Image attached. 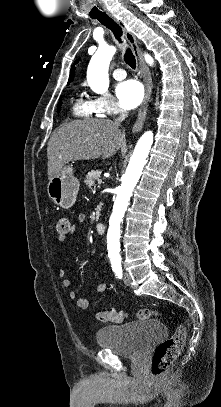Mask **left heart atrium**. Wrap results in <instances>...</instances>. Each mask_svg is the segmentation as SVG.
<instances>
[{
	"instance_id": "1",
	"label": "left heart atrium",
	"mask_w": 221,
	"mask_h": 407,
	"mask_svg": "<svg viewBox=\"0 0 221 407\" xmlns=\"http://www.w3.org/2000/svg\"><path fill=\"white\" fill-rule=\"evenodd\" d=\"M116 95L125 108L133 109L143 100L144 88L139 81L128 79L117 85Z\"/></svg>"
}]
</instances>
